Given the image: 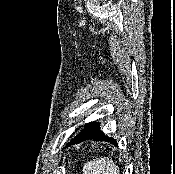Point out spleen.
<instances>
[{
  "label": "spleen",
  "mask_w": 175,
  "mask_h": 174,
  "mask_svg": "<svg viewBox=\"0 0 175 174\" xmlns=\"http://www.w3.org/2000/svg\"><path fill=\"white\" fill-rule=\"evenodd\" d=\"M83 174H120L119 167L107 157L88 161L83 166Z\"/></svg>",
  "instance_id": "3e777b00"
}]
</instances>
